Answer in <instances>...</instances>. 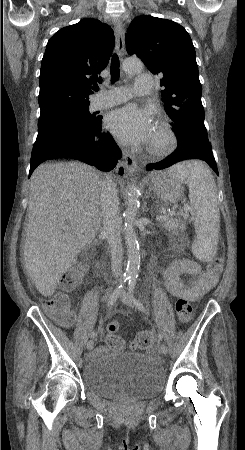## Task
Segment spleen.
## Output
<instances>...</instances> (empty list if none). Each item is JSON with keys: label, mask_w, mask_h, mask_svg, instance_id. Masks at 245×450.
Masks as SVG:
<instances>
[{"label": "spleen", "mask_w": 245, "mask_h": 450, "mask_svg": "<svg viewBox=\"0 0 245 450\" xmlns=\"http://www.w3.org/2000/svg\"><path fill=\"white\" fill-rule=\"evenodd\" d=\"M168 172L189 187V198L197 234L192 252L201 261L211 260L217 251L220 230L218 194L211 171L200 161H186Z\"/></svg>", "instance_id": "1"}]
</instances>
